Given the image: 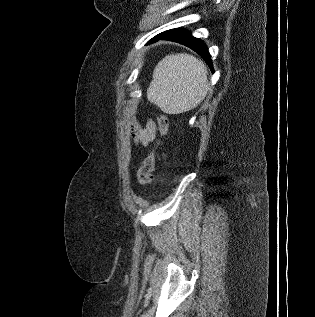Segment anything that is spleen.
I'll list each match as a JSON object with an SVG mask.
<instances>
[{"mask_svg":"<svg viewBox=\"0 0 315 317\" xmlns=\"http://www.w3.org/2000/svg\"><path fill=\"white\" fill-rule=\"evenodd\" d=\"M208 91L207 69L198 58L177 53L157 64L147 91L148 99L167 114L194 109Z\"/></svg>","mask_w":315,"mask_h":317,"instance_id":"3e777b00","label":"spleen"}]
</instances>
